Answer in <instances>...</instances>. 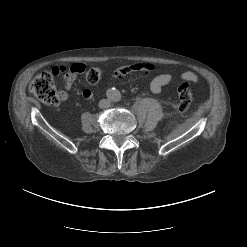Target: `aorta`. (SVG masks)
<instances>
[{
	"mask_svg": "<svg viewBox=\"0 0 247 247\" xmlns=\"http://www.w3.org/2000/svg\"><path fill=\"white\" fill-rule=\"evenodd\" d=\"M106 94L110 101L118 102L121 99V93L116 88L108 89Z\"/></svg>",
	"mask_w": 247,
	"mask_h": 247,
	"instance_id": "1",
	"label": "aorta"
}]
</instances>
